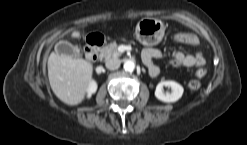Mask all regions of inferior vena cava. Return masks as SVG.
<instances>
[{
  "label": "inferior vena cava",
  "instance_id": "602c4592",
  "mask_svg": "<svg viewBox=\"0 0 247 145\" xmlns=\"http://www.w3.org/2000/svg\"><path fill=\"white\" fill-rule=\"evenodd\" d=\"M120 64L121 62L119 59L111 58V59L106 60L105 66L109 70H116L120 67Z\"/></svg>",
  "mask_w": 247,
  "mask_h": 145
}]
</instances>
